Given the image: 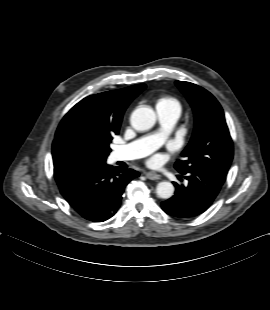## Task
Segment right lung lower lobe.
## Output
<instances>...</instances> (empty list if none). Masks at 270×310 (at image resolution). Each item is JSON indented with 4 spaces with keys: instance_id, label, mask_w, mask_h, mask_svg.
<instances>
[{
    "instance_id": "obj_1",
    "label": "right lung lower lobe",
    "mask_w": 270,
    "mask_h": 310,
    "mask_svg": "<svg viewBox=\"0 0 270 310\" xmlns=\"http://www.w3.org/2000/svg\"><path fill=\"white\" fill-rule=\"evenodd\" d=\"M139 173L103 163H74L54 167L60 192L83 218L103 222L119 209L124 188Z\"/></svg>"
}]
</instances>
